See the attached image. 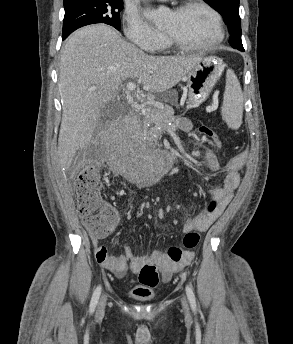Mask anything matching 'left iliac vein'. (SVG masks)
<instances>
[{"instance_id": "4c4485c4", "label": "left iliac vein", "mask_w": 293, "mask_h": 344, "mask_svg": "<svg viewBox=\"0 0 293 344\" xmlns=\"http://www.w3.org/2000/svg\"><path fill=\"white\" fill-rule=\"evenodd\" d=\"M181 304L186 315H189L188 303L185 297L181 298Z\"/></svg>"}]
</instances>
